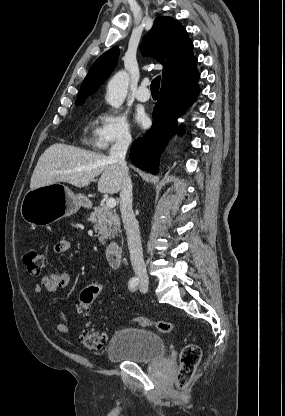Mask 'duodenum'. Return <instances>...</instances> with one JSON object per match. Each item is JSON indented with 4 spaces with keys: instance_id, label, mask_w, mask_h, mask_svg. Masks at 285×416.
<instances>
[{
    "instance_id": "1",
    "label": "duodenum",
    "mask_w": 285,
    "mask_h": 416,
    "mask_svg": "<svg viewBox=\"0 0 285 416\" xmlns=\"http://www.w3.org/2000/svg\"><path fill=\"white\" fill-rule=\"evenodd\" d=\"M83 204L85 206H90L92 204V199L90 197H85L83 199ZM105 255L111 269L120 268L122 259L121 244L117 242L109 243L105 248Z\"/></svg>"
}]
</instances>
